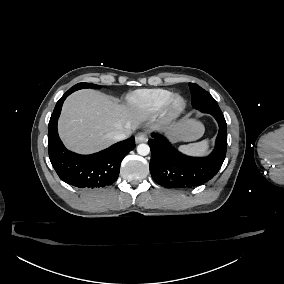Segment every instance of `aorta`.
<instances>
[{"instance_id": "aorta-1", "label": "aorta", "mask_w": 284, "mask_h": 284, "mask_svg": "<svg viewBox=\"0 0 284 284\" xmlns=\"http://www.w3.org/2000/svg\"><path fill=\"white\" fill-rule=\"evenodd\" d=\"M137 153L141 156H146L150 153V147L148 144H139L137 146Z\"/></svg>"}]
</instances>
